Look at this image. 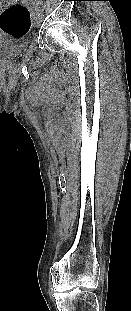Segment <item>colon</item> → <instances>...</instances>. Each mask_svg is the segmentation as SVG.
Here are the masks:
<instances>
[{
  "mask_svg": "<svg viewBox=\"0 0 131 311\" xmlns=\"http://www.w3.org/2000/svg\"><path fill=\"white\" fill-rule=\"evenodd\" d=\"M31 28L28 8L21 4L9 6L0 13V30L15 38L25 36Z\"/></svg>",
  "mask_w": 131,
  "mask_h": 311,
  "instance_id": "obj_1",
  "label": "colon"
}]
</instances>
